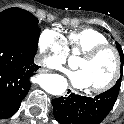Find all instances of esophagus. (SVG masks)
<instances>
[{
    "mask_svg": "<svg viewBox=\"0 0 124 124\" xmlns=\"http://www.w3.org/2000/svg\"><path fill=\"white\" fill-rule=\"evenodd\" d=\"M74 92V90L73 89H70L69 91H68V93H66L67 95H70L71 93H73Z\"/></svg>",
    "mask_w": 124,
    "mask_h": 124,
    "instance_id": "esophagus-1",
    "label": "esophagus"
}]
</instances>
